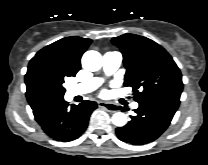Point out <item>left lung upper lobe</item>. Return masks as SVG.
<instances>
[{
    "label": "left lung upper lobe",
    "mask_w": 208,
    "mask_h": 165,
    "mask_svg": "<svg viewBox=\"0 0 208 165\" xmlns=\"http://www.w3.org/2000/svg\"><path fill=\"white\" fill-rule=\"evenodd\" d=\"M121 49L126 68L125 86H131L138 103L158 98L180 100L182 75L172 57L154 41L135 34L112 39Z\"/></svg>",
    "instance_id": "1"
}]
</instances>
